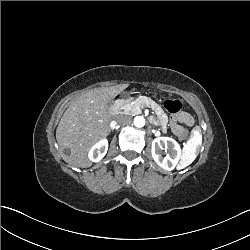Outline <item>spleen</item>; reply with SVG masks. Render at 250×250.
Instances as JSON below:
<instances>
[{
	"instance_id": "1",
	"label": "spleen",
	"mask_w": 250,
	"mask_h": 250,
	"mask_svg": "<svg viewBox=\"0 0 250 250\" xmlns=\"http://www.w3.org/2000/svg\"><path fill=\"white\" fill-rule=\"evenodd\" d=\"M187 165V163H184V166H186Z\"/></svg>"
}]
</instances>
